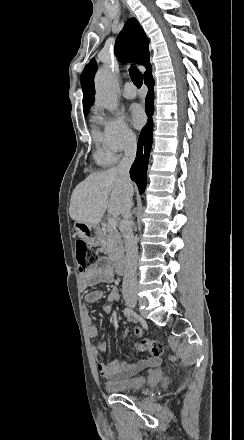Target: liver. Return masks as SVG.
<instances>
[{
	"mask_svg": "<svg viewBox=\"0 0 244 440\" xmlns=\"http://www.w3.org/2000/svg\"><path fill=\"white\" fill-rule=\"evenodd\" d=\"M133 194V186H132ZM128 196L117 168L90 174L72 192L69 216L75 222L99 224L106 210L109 216H120Z\"/></svg>",
	"mask_w": 244,
	"mask_h": 440,
	"instance_id": "1",
	"label": "liver"
}]
</instances>
